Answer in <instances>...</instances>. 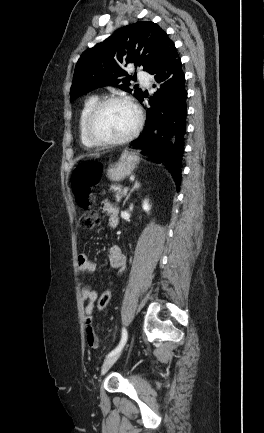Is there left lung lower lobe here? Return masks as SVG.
<instances>
[{
    "mask_svg": "<svg viewBox=\"0 0 264 433\" xmlns=\"http://www.w3.org/2000/svg\"><path fill=\"white\" fill-rule=\"evenodd\" d=\"M150 74L156 81L153 87L158 89L148 97L151 107L147 109L144 131L131 145L144 151L143 154L151 156L155 162L164 164L179 187L186 131L187 91L185 74L176 49ZM145 97L146 92L139 101L142 103Z\"/></svg>",
    "mask_w": 264,
    "mask_h": 433,
    "instance_id": "1",
    "label": "left lung lower lobe"
}]
</instances>
